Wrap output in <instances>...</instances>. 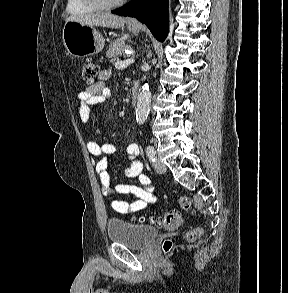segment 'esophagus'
<instances>
[{
    "label": "esophagus",
    "instance_id": "esophagus-1",
    "mask_svg": "<svg viewBox=\"0 0 288 293\" xmlns=\"http://www.w3.org/2000/svg\"><path fill=\"white\" fill-rule=\"evenodd\" d=\"M129 22L132 23V24H137L138 23L135 18H130Z\"/></svg>",
    "mask_w": 288,
    "mask_h": 293
}]
</instances>
